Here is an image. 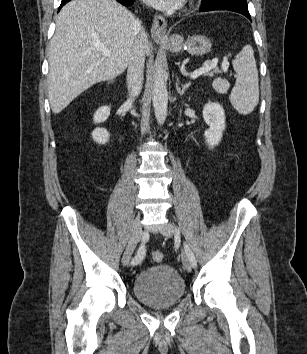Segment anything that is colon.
<instances>
[{"instance_id": "obj_1", "label": "colon", "mask_w": 307, "mask_h": 354, "mask_svg": "<svg viewBox=\"0 0 307 354\" xmlns=\"http://www.w3.org/2000/svg\"><path fill=\"white\" fill-rule=\"evenodd\" d=\"M151 257H152V260H153L154 262H157V263H158V262H161L162 259H163L162 253H161V252H158V251L153 252L152 255H151Z\"/></svg>"}]
</instances>
